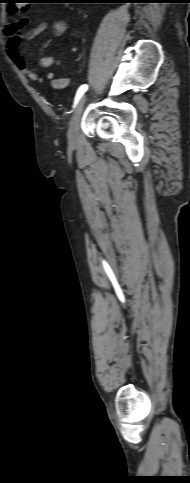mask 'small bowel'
<instances>
[{"instance_id": "1", "label": "small bowel", "mask_w": 190, "mask_h": 483, "mask_svg": "<svg viewBox=\"0 0 190 483\" xmlns=\"http://www.w3.org/2000/svg\"><path fill=\"white\" fill-rule=\"evenodd\" d=\"M30 23L28 18H19L11 23H8L4 28V35L6 40V53L12 63L26 74L29 78L37 82L51 81L53 89H64L70 82L69 77H54L52 72H48L45 75H40L36 68L27 65L24 57L19 51L20 36L19 32L26 28ZM47 29H51L54 35H61L66 30V23L60 20H54L51 23H40L31 30H29L25 36L29 39H34ZM38 64L42 67H51L53 65H61L60 61L53 57H40Z\"/></svg>"}]
</instances>
